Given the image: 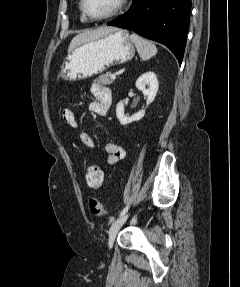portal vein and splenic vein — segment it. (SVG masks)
I'll return each mask as SVG.
<instances>
[{"label": "portal vein and splenic vein", "instance_id": "portal-vein-and-splenic-vein-1", "mask_svg": "<svg viewBox=\"0 0 240 287\" xmlns=\"http://www.w3.org/2000/svg\"><path fill=\"white\" fill-rule=\"evenodd\" d=\"M111 78H112V79H115V78H116V75H115V74H112V75H111Z\"/></svg>", "mask_w": 240, "mask_h": 287}]
</instances>
